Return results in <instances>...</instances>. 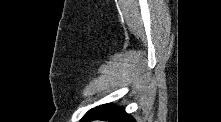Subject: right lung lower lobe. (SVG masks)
Instances as JSON below:
<instances>
[{
    "label": "right lung lower lobe",
    "mask_w": 221,
    "mask_h": 122,
    "mask_svg": "<svg viewBox=\"0 0 221 122\" xmlns=\"http://www.w3.org/2000/svg\"><path fill=\"white\" fill-rule=\"evenodd\" d=\"M95 119H102L112 122H134V119L127 114L123 108L115 107L111 104H105L91 109L83 117V121H91Z\"/></svg>",
    "instance_id": "1"
}]
</instances>
